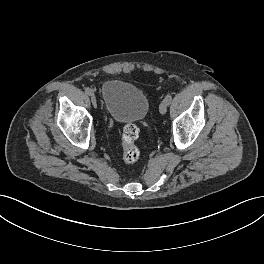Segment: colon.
<instances>
[{"label": "colon", "instance_id": "colon-1", "mask_svg": "<svg viewBox=\"0 0 264 264\" xmlns=\"http://www.w3.org/2000/svg\"><path fill=\"white\" fill-rule=\"evenodd\" d=\"M138 137L139 129L135 124L130 123L124 127L120 144L122 147V159L126 164H134L140 160L141 152L136 145Z\"/></svg>", "mask_w": 264, "mask_h": 264}]
</instances>
